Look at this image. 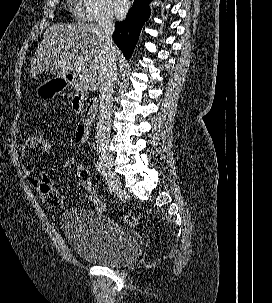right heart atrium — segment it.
Masks as SVG:
<instances>
[{
	"mask_svg": "<svg viewBox=\"0 0 272 303\" xmlns=\"http://www.w3.org/2000/svg\"><path fill=\"white\" fill-rule=\"evenodd\" d=\"M84 19L91 22H110L112 13L108 0H81Z\"/></svg>",
	"mask_w": 272,
	"mask_h": 303,
	"instance_id": "1",
	"label": "right heart atrium"
}]
</instances>
